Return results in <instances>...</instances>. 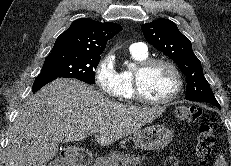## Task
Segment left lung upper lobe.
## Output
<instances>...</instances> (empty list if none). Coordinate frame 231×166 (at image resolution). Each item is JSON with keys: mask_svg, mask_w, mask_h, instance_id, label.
Returning a JSON list of instances; mask_svg holds the SVG:
<instances>
[{"mask_svg": "<svg viewBox=\"0 0 231 166\" xmlns=\"http://www.w3.org/2000/svg\"><path fill=\"white\" fill-rule=\"evenodd\" d=\"M145 39L172 59L186 76V99L217 102L204 77L201 62L192 50L190 40L168 19H157L141 26Z\"/></svg>", "mask_w": 231, "mask_h": 166, "instance_id": "5c2ea615", "label": "left lung upper lobe"}]
</instances>
